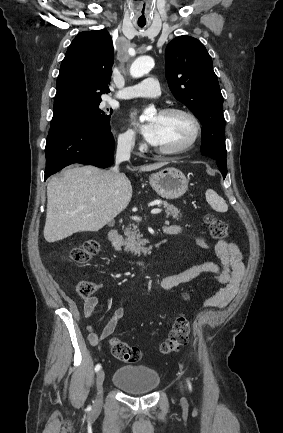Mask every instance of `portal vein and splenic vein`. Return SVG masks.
<instances>
[{
    "mask_svg": "<svg viewBox=\"0 0 283 433\" xmlns=\"http://www.w3.org/2000/svg\"><path fill=\"white\" fill-rule=\"evenodd\" d=\"M150 212H152V214H156V212H161V208H152ZM131 219H133V221H141L140 217H131Z\"/></svg>",
    "mask_w": 283,
    "mask_h": 433,
    "instance_id": "obj_1",
    "label": "portal vein and splenic vein"
}]
</instances>
